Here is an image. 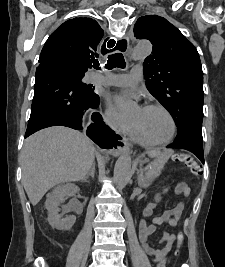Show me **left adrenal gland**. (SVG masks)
I'll return each mask as SVG.
<instances>
[{"instance_id": "obj_1", "label": "left adrenal gland", "mask_w": 225, "mask_h": 267, "mask_svg": "<svg viewBox=\"0 0 225 267\" xmlns=\"http://www.w3.org/2000/svg\"><path fill=\"white\" fill-rule=\"evenodd\" d=\"M137 181H138V186L139 187H144L145 186L142 167L140 168V170L137 171Z\"/></svg>"}]
</instances>
